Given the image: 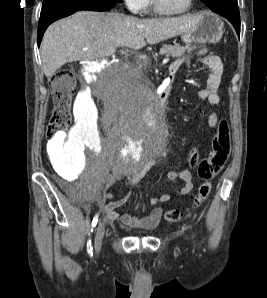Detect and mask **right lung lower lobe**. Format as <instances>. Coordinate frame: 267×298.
I'll return each mask as SVG.
<instances>
[{"label":"right lung lower lobe","instance_id":"98d812e1","mask_svg":"<svg viewBox=\"0 0 267 298\" xmlns=\"http://www.w3.org/2000/svg\"><path fill=\"white\" fill-rule=\"evenodd\" d=\"M116 3L115 0H51L43 4L38 25V46L46 28L52 22L79 10L107 11Z\"/></svg>","mask_w":267,"mask_h":298}]
</instances>
